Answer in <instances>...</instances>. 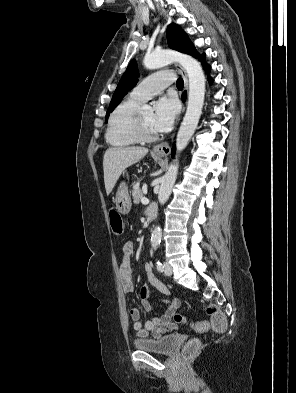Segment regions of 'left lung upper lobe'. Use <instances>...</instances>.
I'll use <instances>...</instances> for the list:
<instances>
[{
  "instance_id": "5c2ea615",
  "label": "left lung upper lobe",
  "mask_w": 296,
  "mask_h": 393,
  "mask_svg": "<svg viewBox=\"0 0 296 393\" xmlns=\"http://www.w3.org/2000/svg\"><path fill=\"white\" fill-rule=\"evenodd\" d=\"M167 41L171 49L178 50L183 53L192 55L193 57H200L201 55L197 53L194 45L191 43L187 34L175 23L168 26L167 31ZM138 68L135 60H132L127 67L124 75L122 76L117 88L113 94L112 100L110 102L109 108L106 113V121L109 114L122 100L123 96L131 90L137 83L138 79Z\"/></svg>"
}]
</instances>
